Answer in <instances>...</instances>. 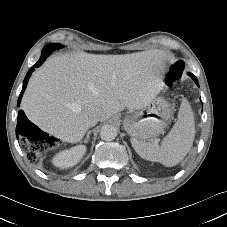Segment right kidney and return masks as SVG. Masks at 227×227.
I'll return each instance as SVG.
<instances>
[{
	"mask_svg": "<svg viewBox=\"0 0 227 227\" xmlns=\"http://www.w3.org/2000/svg\"><path fill=\"white\" fill-rule=\"evenodd\" d=\"M86 152L84 145L72 147L56 154L52 159V163L61 169L69 168L76 165Z\"/></svg>",
	"mask_w": 227,
	"mask_h": 227,
	"instance_id": "right-kidney-1",
	"label": "right kidney"
}]
</instances>
